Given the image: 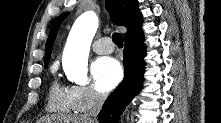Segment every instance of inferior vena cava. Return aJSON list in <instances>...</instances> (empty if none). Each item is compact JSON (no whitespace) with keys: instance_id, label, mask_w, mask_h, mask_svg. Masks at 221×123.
<instances>
[{"instance_id":"obj_1","label":"inferior vena cava","mask_w":221,"mask_h":123,"mask_svg":"<svg viewBox=\"0 0 221 123\" xmlns=\"http://www.w3.org/2000/svg\"><path fill=\"white\" fill-rule=\"evenodd\" d=\"M105 100H106L105 94H101L98 92L94 93L92 109L90 110L89 114L86 115L91 120V122H93V123L97 122L96 117L98 116L99 112L101 111Z\"/></svg>"}]
</instances>
